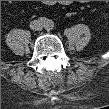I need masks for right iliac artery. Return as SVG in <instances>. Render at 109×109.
<instances>
[{
	"mask_svg": "<svg viewBox=\"0 0 109 109\" xmlns=\"http://www.w3.org/2000/svg\"><path fill=\"white\" fill-rule=\"evenodd\" d=\"M39 22H41L42 24H45L46 23V18L40 17Z\"/></svg>",
	"mask_w": 109,
	"mask_h": 109,
	"instance_id": "obj_1",
	"label": "right iliac artery"
}]
</instances>
